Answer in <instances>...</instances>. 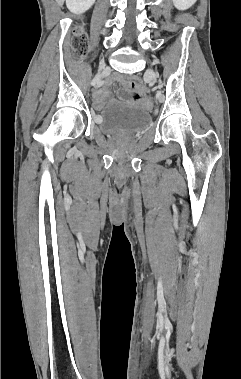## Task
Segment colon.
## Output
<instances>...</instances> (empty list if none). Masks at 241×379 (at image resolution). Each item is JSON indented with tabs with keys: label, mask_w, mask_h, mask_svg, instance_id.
I'll return each mask as SVG.
<instances>
[{
	"label": "colon",
	"mask_w": 241,
	"mask_h": 379,
	"mask_svg": "<svg viewBox=\"0 0 241 379\" xmlns=\"http://www.w3.org/2000/svg\"><path fill=\"white\" fill-rule=\"evenodd\" d=\"M73 32L75 35V39L73 42V50L77 55H81L86 49L87 38L83 34L82 28L79 26L75 27ZM163 48H164L163 50H165L163 54L166 57L169 56V54H170L169 51L173 50L172 49L173 47L171 44H165ZM141 108L142 109H150L151 108V99L147 98V97L143 98L142 103H141Z\"/></svg>",
	"instance_id": "colon-1"
}]
</instances>
